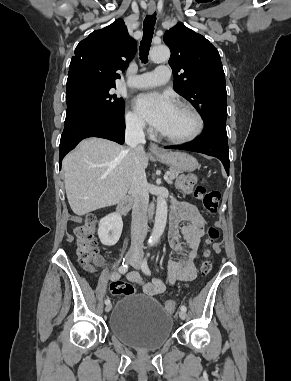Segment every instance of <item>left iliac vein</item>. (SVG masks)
I'll use <instances>...</instances> for the list:
<instances>
[{"mask_svg":"<svg viewBox=\"0 0 291 381\" xmlns=\"http://www.w3.org/2000/svg\"><path fill=\"white\" fill-rule=\"evenodd\" d=\"M132 266L135 268V269H141V258L140 257H137V259L132 263ZM186 311H183L181 310L179 312V317L184 320L186 319Z\"/></svg>","mask_w":291,"mask_h":381,"instance_id":"left-iliac-vein-1","label":"left iliac vein"}]
</instances>
